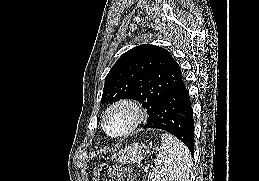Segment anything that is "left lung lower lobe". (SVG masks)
<instances>
[{"label": "left lung lower lobe", "mask_w": 259, "mask_h": 181, "mask_svg": "<svg viewBox=\"0 0 259 181\" xmlns=\"http://www.w3.org/2000/svg\"><path fill=\"white\" fill-rule=\"evenodd\" d=\"M143 128H158L173 134L194 155L193 109L182 76L163 98L155 117Z\"/></svg>", "instance_id": "left-lung-lower-lobe-1"}]
</instances>
